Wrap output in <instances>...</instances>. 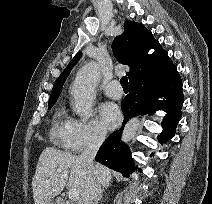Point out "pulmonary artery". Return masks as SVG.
I'll list each match as a JSON object with an SVG mask.
<instances>
[{
	"label": "pulmonary artery",
	"mask_w": 212,
	"mask_h": 204,
	"mask_svg": "<svg viewBox=\"0 0 212 204\" xmlns=\"http://www.w3.org/2000/svg\"><path fill=\"white\" fill-rule=\"evenodd\" d=\"M104 93L112 99H120L122 97V88L118 81L110 82L104 89Z\"/></svg>",
	"instance_id": "obj_1"
}]
</instances>
